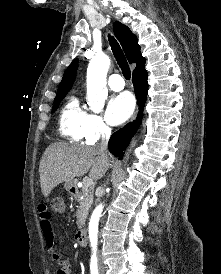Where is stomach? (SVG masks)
<instances>
[{
	"label": "stomach",
	"mask_w": 221,
	"mask_h": 274,
	"mask_svg": "<svg viewBox=\"0 0 221 274\" xmlns=\"http://www.w3.org/2000/svg\"><path fill=\"white\" fill-rule=\"evenodd\" d=\"M64 187L68 192L72 193L75 190L76 185H75V182L72 181V182H69V183H65Z\"/></svg>",
	"instance_id": "stomach-1"
}]
</instances>
